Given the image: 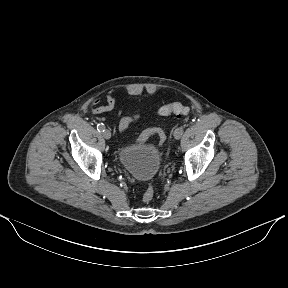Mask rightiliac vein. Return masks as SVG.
<instances>
[{
  "instance_id": "1",
  "label": "right iliac vein",
  "mask_w": 288,
  "mask_h": 288,
  "mask_svg": "<svg viewBox=\"0 0 288 288\" xmlns=\"http://www.w3.org/2000/svg\"><path fill=\"white\" fill-rule=\"evenodd\" d=\"M103 137L107 140L110 139L111 138V132L109 130H104L103 131Z\"/></svg>"
}]
</instances>
